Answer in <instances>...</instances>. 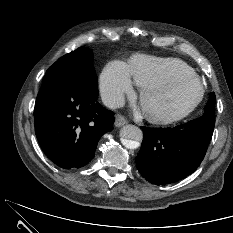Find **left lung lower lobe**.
Listing matches in <instances>:
<instances>
[{
    "instance_id": "0a47b994",
    "label": "left lung lower lobe",
    "mask_w": 233,
    "mask_h": 233,
    "mask_svg": "<svg viewBox=\"0 0 233 233\" xmlns=\"http://www.w3.org/2000/svg\"><path fill=\"white\" fill-rule=\"evenodd\" d=\"M214 124L201 117L174 128L142 127L144 139L136 157L138 171L157 185L192 174L206 154Z\"/></svg>"
}]
</instances>
